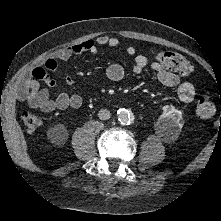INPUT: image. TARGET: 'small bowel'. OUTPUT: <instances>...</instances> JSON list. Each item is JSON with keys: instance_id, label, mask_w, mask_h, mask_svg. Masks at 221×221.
Here are the masks:
<instances>
[{"instance_id": "obj_1", "label": "small bowel", "mask_w": 221, "mask_h": 221, "mask_svg": "<svg viewBox=\"0 0 221 221\" xmlns=\"http://www.w3.org/2000/svg\"><path fill=\"white\" fill-rule=\"evenodd\" d=\"M120 38L116 36L102 35L96 39H87L69 47H64L52 56L47 58L40 66L32 70L29 77H26L17 90V97L24 100L31 108L39 109L43 112H53L55 110H66L69 108H79L82 98L77 94L62 92L56 97H52L50 89L55 87L56 82L50 73L59 72V62L66 61L74 55L82 53L97 54L100 46L119 47ZM126 52L134 55L136 49L128 46ZM148 65L146 56L139 54L135 56L133 72L141 73ZM151 70L155 73L157 80L164 86L176 88L180 101L191 102L195 97V88L190 82L181 81L180 77L169 70L164 69L159 62L150 64ZM106 76L113 82L121 81L125 76V69L118 63L111 64L106 69ZM67 85L73 84V79L69 76L64 77ZM41 83H45L47 88H41Z\"/></svg>"}]
</instances>
